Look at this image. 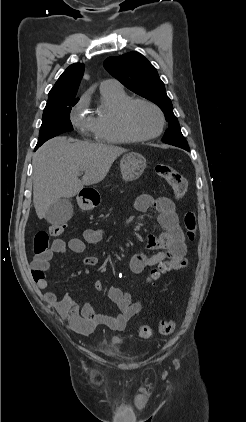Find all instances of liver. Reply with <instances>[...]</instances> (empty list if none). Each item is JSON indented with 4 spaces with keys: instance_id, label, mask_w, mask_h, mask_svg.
Here are the masks:
<instances>
[{
    "instance_id": "1",
    "label": "liver",
    "mask_w": 246,
    "mask_h": 422,
    "mask_svg": "<svg viewBox=\"0 0 246 422\" xmlns=\"http://www.w3.org/2000/svg\"><path fill=\"white\" fill-rule=\"evenodd\" d=\"M126 152L121 147L55 137L33 157V204L39 219L59 198H71L84 186L101 182L113 162ZM83 170L80 180L78 175Z\"/></svg>"
}]
</instances>
